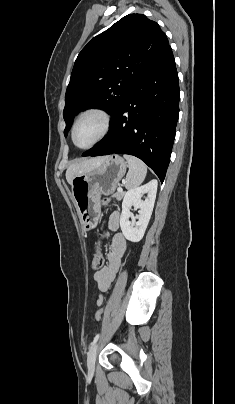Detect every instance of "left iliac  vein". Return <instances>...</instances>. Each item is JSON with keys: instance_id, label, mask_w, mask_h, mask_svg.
I'll return each mask as SVG.
<instances>
[{"instance_id": "obj_1", "label": "left iliac vein", "mask_w": 235, "mask_h": 404, "mask_svg": "<svg viewBox=\"0 0 235 404\" xmlns=\"http://www.w3.org/2000/svg\"><path fill=\"white\" fill-rule=\"evenodd\" d=\"M97 351H98V344H95L87 357V366L90 372H93L95 369V361H96V356H97Z\"/></svg>"}]
</instances>
